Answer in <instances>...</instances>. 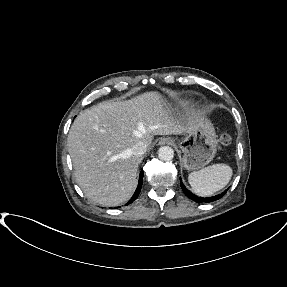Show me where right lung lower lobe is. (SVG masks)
I'll return each mask as SVG.
<instances>
[{
	"label": "right lung lower lobe",
	"mask_w": 287,
	"mask_h": 287,
	"mask_svg": "<svg viewBox=\"0 0 287 287\" xmlns=\"http://www.w3.org/2000/svg\"><path fill=\"white\" fill-rule=\"evenodd\" d=\"M142 184H143V170H141V172H140L137 189H136L135 193L133 194L132 198L128 201V203L126 205L131 204L133 201H135L137 199L138 195L141 192Z\"/></svg>",
	"instance_id": "obj_1"
}]
</instances>
